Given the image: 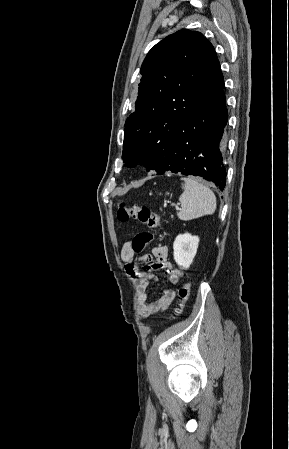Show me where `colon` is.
Returning a JSON list of instances; mask_svg holds the SVG:
<instances>
[{"mask_svg":"<svg viewBox=\"0 0 289 449\" xmlns=\"http://www.w3.org/2000/svg\"><path fill=\"white\" fill-rule=\"evenodd\" d=\"M117 219L121 222H126L128 220H136L141 224L147 225L153 229L161 228V220L159 215L152 213L151 210L143 205H132L127 206L125 203H120L117 210ZM154 236L148 232H141L137 234L132 240V247L134 252L139 253L145 245L153 240ZM180 303L175 310V315L179 316L182 314L186 303L190 296V284L185 282L179 290Z\"/></svg>","mask_w":289,"mask_h":449,"instance_id":"obj_1","label":"colon"}]
</instances>
